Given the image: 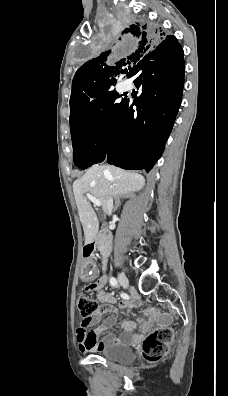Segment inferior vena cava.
<instances>
[{"mask_svg": "<svg viewBox=\"0 0 228 396\" xmlns=\"http://www.w3.org/2000/svg\"><path fill=\"white\" fill-rule=\"evenodd\" d=\"M106 207H107L108 214L110 215L112 210H113V199H112V197H108L107 198Z\"/></svg>", "mask_w": 228, "mask_h": 396, "instance_id": "inferior-vena-cava-1", "label": "inferior vena cava"}]
</instances>
